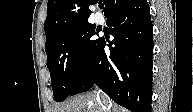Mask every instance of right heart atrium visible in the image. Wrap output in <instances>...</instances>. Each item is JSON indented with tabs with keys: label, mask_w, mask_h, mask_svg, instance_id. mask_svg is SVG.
I'll return each mask as SVG.
<instances>
[{
	"label": "right heart atrium",
	"mask_w": 193,
	"mask_h": 112,
	"mask_svg": "<svg viewBox=\"0 0 193 112\" xmlns=\"http://www.w3.org/2000/svg\"><path fill=\"white\" fill-rule=\"evenodd\" d=\"M75 65L77 68L81 69L86 64V55L83 50L79 49L76 51L74 56Z\"/></svg>",
	"instance_id": "right-heart-atrium-1"
}]
</instances>
